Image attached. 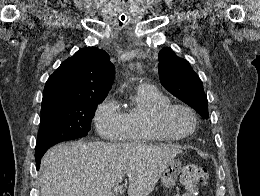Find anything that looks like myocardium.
Segmentation results:
<instances>
[{
  "label": "myocardium",
  "instance_id": "1",
  "mask_svg": "<svg viewBox=\"0 0 260 196\" xmlns=\"http://www.w3.org/2000/svg\"><path fill=\"white\" fill-rule=\"evenodd\" d=\"M172 110H181V111L185 112L186 114H188L193 121L192 128L182 134L175 133L174 131L169 129L165 125V118L168 115V113ZM195 118H196L195 112L189 106L181 104V103L169 102L163 106H160L156 110V115L153 119L150 120L149 125L153 130L159 132L163 137H165L167 139L185 140V139L189 138L196 130V127L194 124Z\"/></svg>",
  "mask_w": 260,
  "mask_h": 196
}]
</instances>
